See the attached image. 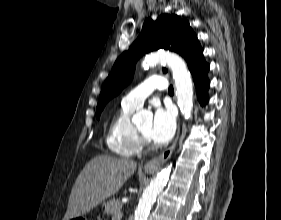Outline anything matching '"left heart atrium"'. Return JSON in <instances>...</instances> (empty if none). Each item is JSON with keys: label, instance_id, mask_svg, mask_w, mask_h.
Masks as SVG:
<instances>
[{"label": "left heart atrium", "instance_id": "1", "mask_svg": "<svg viewBox=\"0 0 281 220\" xmlns=\"http://www.w3.org/2000/svg\"><path fill=\"white\" fill-rule=\"evenodd\" d=\"M176 130L175 115L170 109L158 108L149 130V139L156 144H165L171 140Z\"/></svg>", "mask_w": 281, "mask_h": 220}]
</instances>
